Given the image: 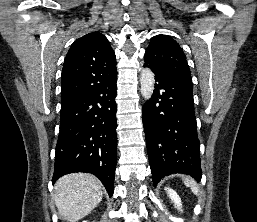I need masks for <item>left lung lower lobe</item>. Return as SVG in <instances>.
<instances>
[{
    "label": "left lung lower lobe",
    "mask_w": 257,
    "mask_h": 222,
    "mask_svg": "<svg viewBox=\"0 0 257 222\" xmlns=\"http://www.w3.org/2000/svg\"><path fill=\"white\" fill-rule=\"evenodd\" d=\"M155 74V90L142 109L153 183L173 173L201 180L200 142L194 113L193 85L144 64Z\"/></svg>",
    "instance_id": "obj_1"
}]
</instances>
